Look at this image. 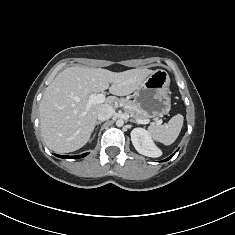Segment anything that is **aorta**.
<instances>
[{
	"instance_id": "1",
	"label": "aorta",
	"mask_w": 235,
	"mask_h": 235,
	"mask_svg": "<svg viewBox=\"0 0 235 235\" xmlns=\"http://www.w3.org/2000/svg\"><path fill=\"white\" fill-rule=\"evenodd\" d=\"M123 125H124L123 119H118V120L116 121V126H117V127H121V126H123Z\"/></svg>"
}]
</instances>
